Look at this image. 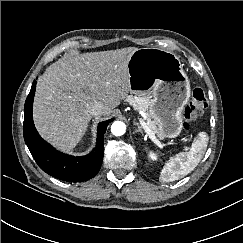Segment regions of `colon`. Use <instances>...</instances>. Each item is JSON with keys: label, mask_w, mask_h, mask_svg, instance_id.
<instances>
[{"label": "colon", "mask_w": 243, "mask_h": 243, "mask_svg": "<svg viewBox=\"0 0 243 243\" xmlns=\"http://www.w3.org/2000/svg\"><path fill=\"white\" fill-rule=\"evenodd\" d=\"M207 107V98L205 92L200 87H195L192 91V97L189 103L180 110L181 127L184 131L189 129V123L199 116Z\"/></svg>", "instance_id": "obj_1"}]
</instances>
